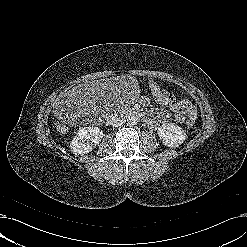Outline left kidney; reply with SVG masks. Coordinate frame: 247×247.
<instances>
[{
	"mask_svg": "<svg viewBox=\"0 0 247 247\" xmlns=\"http://www.w3.org/2000/svg\"><path fill=\"white\" fill-rule=\"evenodd\" d=\"M157 134L167 147L176 148L182 144L186 138V132L175 123H164L161 125Z\"/></svg>",
	"mask_w": 247,
	"mask_h": 247,
	"instance_id": "1",
	"label": "left kidney"
}]
</instances>
